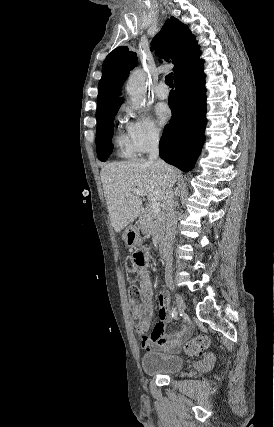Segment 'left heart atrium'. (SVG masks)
Here are the masks:
<instances>
[{
	"mask_svg": "<svg viewBox=\"0 0 274 427\" xmlns=\"http://www.w3.org/2000/svg\"><path fill=\"white\" fill-rule=\"evenodd\" d=\"M171 116L172 112L167 104L159 103L155 106L154 118L159 127L164 126L171 119Z\"/></svg>",
	"mask_w": 274,
	"mask_h": 427,
	"instance_id": "left-heart-atrium-1",
	"label": "left heart atrium"
}]
</instances>
